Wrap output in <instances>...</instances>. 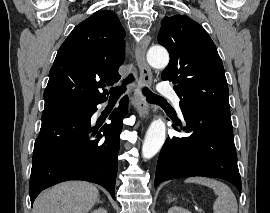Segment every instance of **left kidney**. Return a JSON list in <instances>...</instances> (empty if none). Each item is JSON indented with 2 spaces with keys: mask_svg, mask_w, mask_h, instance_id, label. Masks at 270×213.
<instances>
[{
  "mask_svg": "<svg viewBox=\"0 0 270 213\" xmlns=\"http://www.w3.org/2000/svg\"><path fill=\"white\" fill-rule=\"evenodd\" d=\"M168 213H191V212L184 208L173 206L168 210Z\"/></svg>",
  "mask_w": 270,
  "mask_h": 213,
  "instance_id": "5707ae66",
  "label": "left kidney"
}]
</instances>
